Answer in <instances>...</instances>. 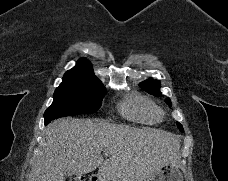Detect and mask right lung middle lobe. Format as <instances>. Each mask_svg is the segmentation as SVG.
<instances>
[{
    "mask_svg": "<svg viewBox=\"0 0 228 181\" xmlns=\"http://www.w3.org/2000/svg\"><path fill=\"white\" fill-rule=\"evenodd\" d=\"M106 94L101 82L81 85H60L54 92V101L45 111V125L51 120L97 111Z\"/></svg>",
    "mask_w": 228,
    "mask_h": 181,
    "instance_id": "1",
    "label": "right lung middle lobe"
}]
</instances>
